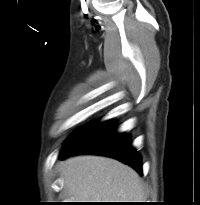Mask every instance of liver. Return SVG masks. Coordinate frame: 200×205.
Returning a JSON list of instances; mask_svg holds the SVG:
<instances>
[{
	"label": "liver",
	"mask_w": 200,
	"mask_h": 205,
	"mask_svg": "<svg viewBox=\"0 0 200 205\" xmlns=\"http://www.w3.org/2000/svg\"><path fill=\"white\" fill-rule=\"evenodd\" d=\"M58 167L69 196L82 200L77 202L145 200L139 175L117 160L83 155L68 158L60 162Z\"/></svg>",
	"instance_id": "6515ba94"
}]
</instances>
